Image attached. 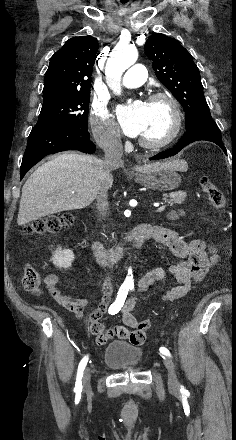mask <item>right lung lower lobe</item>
<instances>
[{
  "instance_id": "right-lung-lower-lobe-1",
  "label": "right lung lower lobe",
  "mask_w": 236,
  "mask_h": 440,
  "mask_svg": "<svg viewBox=\"0 0 236 440\" xmlns=\"http://www.w3.org/2000/svg\"><path fill=\"white\" fill-rule=\"evenodd\" d=\"M79 150L93 153L95 144L90 140V134L85 129L59 126H34L27 142L21 164V178L43 157L66 151Z\"/></svg>"
}]
</instances>
